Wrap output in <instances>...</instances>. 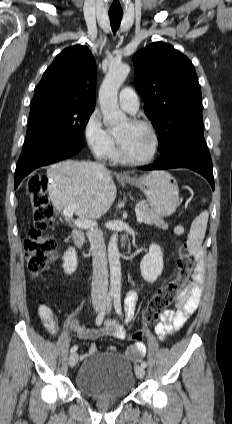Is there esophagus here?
I'll return each mask as SVG.
<instances>
[{
  "label": "esophagus",
  "instance_id": "34e87169",
  "mask_svg": "<svg viewBox=\"0 0 232 424\" xmlns=\"http://www.w3.org/2000/svg\"><path fill=\"white\" fill-rule=\"evenodd\" d=\"M118 177H120V178H126L127 176H126V175H124V174H122V173H119V174H118Z\"/></svg>",
  "mask_w": 232,
  "mask_h": 424
}]
</instances>
